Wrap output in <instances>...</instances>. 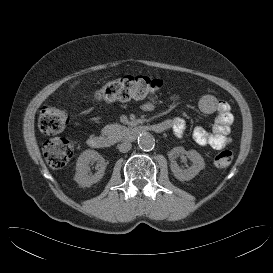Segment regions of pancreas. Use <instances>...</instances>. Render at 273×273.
I'll use <instances>...</instances> for the list:
<instances>
[{
    "mask_svg": "<svg viewBox=\"0 0 273 273\" xmlns=\"http://www.w3.org/2000/svg\"><path fill=\"white\" fill-rule=\"evenodd\" d=\"M127 131V127L114 123L106 125L102 129L101 133L102 135L107 136L110 140L119 141L123 138Z\"/></svg>",
    "mask_w": 273,
    "mask_h": 273,
    "instance_id": "pancreas-1",
    "label": "pancreas"
}]
</instances>
